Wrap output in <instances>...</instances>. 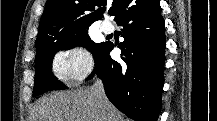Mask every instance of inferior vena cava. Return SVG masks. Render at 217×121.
<instances>
[{
    "label": "inferior vena cava",
    "mask_w": 217,
    "mask_h": 121,
    "mask_svg": "<svg viewBox=\"0 0 217 121\" xmlns=\"http://www.w3.org/2000/svg\"><path fill=\"white\" fill-rule=\"evenodd\" d=\"M96 97V101L98 104L104 103V101L107 99L104 91L103 83L100 79H96L95 83L93 84V87L91 89Z\"/></svg>",
    "instance_id": "602c4592"
}]
</instances>
